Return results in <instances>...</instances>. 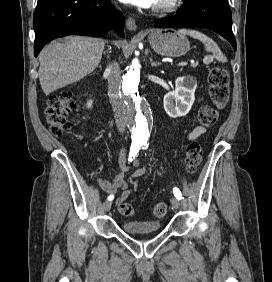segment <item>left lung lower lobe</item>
<instances>
[{"mask_svg":"<svg viewBox=\"0 0 272 282\" xmlns=\"http://www.w3.org/2000/svg\"><path fill=\"white\" fill-rule=\"evenodd\" d=\"M180 13L156 20L158 28H205L227 39L236 50L228 0H183Z\"/></svg>","mask_w":272,"mask_h":282,"instance_id":"1","label":"left lung lower lobe"}]
</instances>
